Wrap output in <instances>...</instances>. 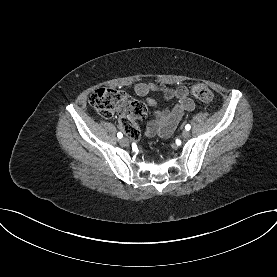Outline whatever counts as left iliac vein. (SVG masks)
<instances>
[{
	"label": "left iliac vein",
	"mask_w": 277,
	"mask_h": 277,
	"mask_svg": "<svg viewBox=\"0 0 277 277\" xmlns=\"http://www.w3.org/2000/svg\"><path fill=\"white\" fill-rule=\"evenodd\" d=\"M190 136V132L188 131V130H184L183 132H182V137L183 138H188Z\"/></svg>",
	"instance_id": "1"
}]
</instances>
